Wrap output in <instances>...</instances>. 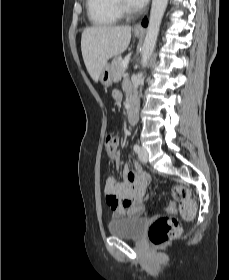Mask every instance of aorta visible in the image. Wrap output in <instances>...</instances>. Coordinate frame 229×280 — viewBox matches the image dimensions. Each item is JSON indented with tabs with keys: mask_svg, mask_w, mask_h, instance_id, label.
Masks as SVG:
<instances>
[{
	"mask_svg": "<svg viewBox=\"0 0 229 280\" xmlns=\"http://www.w3.org/2000/svg\"><path fill=\"white\" fill-rule=\"evenodd\" d=\"M168 0H153L149 24L147 27L146 37L142 46V59L141 63L143 67L148 65L149 59L154 51L157 37L159 34V29L164 12L167 7Z\"/></svg>",
	"mask_w": 229,
	"mask_h": 280,
	"instance_id": "1",
	"label": "aorta"
}]
</instances>
